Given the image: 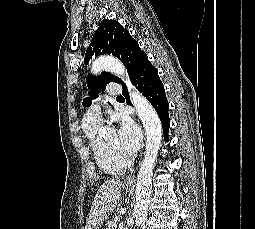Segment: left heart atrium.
<instances>
[{
  "instance_id": "left-heart-atrium-1",
  "label": "left heart atrium",
  "mask_w": 255,
  "mask_h": 229,
  "mask_svg": "<svg viewBox=\"0 0 255 229\" xmlns=\"http://www.w3.org/2000/svg\"><path fill=\"white\" fill-rule=\"evenodd\" d=\"M119 144L123 152L135 153L141 143V132L138 126L129 118H121L118 126Z\"/></svg>"
}]
</instances>
